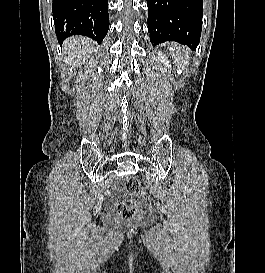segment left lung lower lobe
<instances>
[{"instance_id":"left-lung-lower-lobe-1","label":"left lung lower lobe","mask_w":265,"mask_h":273,"mask_svg":"<svg viewBox=\"0 0 265 273\" xmlns=\"http://www.w3.org/2000/svg\"><path fill=\"white\" fill-rule=\"evenodd\" d=\"M150 41H176L196 50L200 42L203 0H148Z\"/></svg>"}]
</instances>
